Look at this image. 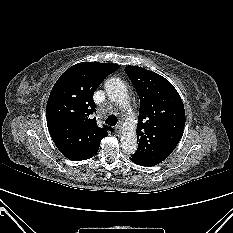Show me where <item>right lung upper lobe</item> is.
<instances>
[{
    "label": "right lung upper lobe",
    "instance_id": "1",
    "mask_svg": "<svg viewBox=\"0 0 233 233\" xmlns=\"http://www.w3.org/2000/svg\"><path fill=\"white\" fill-rule=\"evenodd\" d=\"M120 65L82 62L67 69L53 86L46 107L50 135L60 150L73 161L93 157L110 127L99 128L92 119L93 93ZM112 130V129H111Z\"/></svg>",
    "mask_w": 233,
    "mask_h": 233
}]
</instances>
